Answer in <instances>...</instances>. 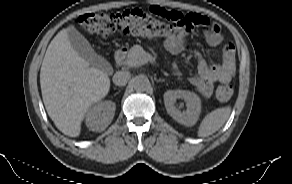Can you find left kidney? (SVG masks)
I'll list each match as a JSON object with an SVG mask.
<instances>
[{"mask_svg": "<svg viewBox=\"0 0 292 184\" xmlns=\"http://www.w3.org/2000/svg\"><path fill=\"white\" fill-rule=\"evenodd\" d=\"M184 99L186 102V111L181 112L175 106L177 99ZM164 104L167 113L178 123L185 126H193L201 112V100L199 96L193 92L185 90H168L164 93Z\"/></svg>", "mask_w": 292, "mask_h": 184, "instance_id": "obj_1", "label": "left kidney"}]
</instances>
